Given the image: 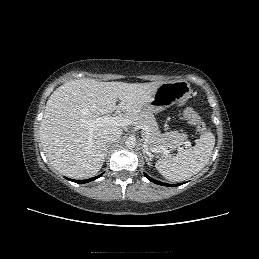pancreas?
<instances>
[{
  "label": "pancreas",
  "mask_w": 259,
  "mask_h": 259,
  "mask_svg": "<svg viewBox=\"0 0 259 259\" xmlns=\"http://www.w3.org/2000/svg\"><path fill=\"white\" fill-rule=\"evenodd\" d=\"M128 118L131 119L134 124H138L143 127L142 133L144 140L150 149L164 146L167 149L169 148L173 150L186 145V142H188V136L185 133L170 131L161 134L156 119L152 113L136 111L129 113Z\"/></svg>",
  "instance_id": "pancreas-1"
}]
</instances>
